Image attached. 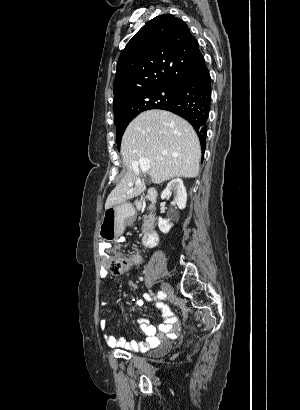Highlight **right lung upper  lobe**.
<instances>
[{
	"label": "right lung upper lobe",
	"mask_w": 300,
	"mask_h": 410,
	"mask_svg": "<svg viewBox=\"0 0 300 410\" xmlns=\"http://www.w3.org/2000/svg\"><path fill=\"white\" fill-rule=\"evenodd\" d=\"M203 60L197 40L182 20L171 14L153 18L119 57L113 84L115 118L133 115L142 93L178 88Z\"/></svg>",
	"instance_id": "obj_1"
}]
</instances>
